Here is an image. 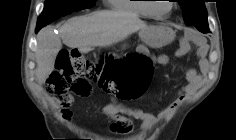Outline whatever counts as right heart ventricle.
I'll return each mask as SVG.
<instances>
[{
  "mask_svg": "<svg viewBox=\"0 0 236 140\" xmlns=\"http://www.w3.org/2000/svg\"><path fill=\"white\" fill-rule=\"evenodd\" d=\"M146 0H111V7L120 12L132 13L142 17L152 16Z\"/></svg>",
  "mask_w": 236,
  "mask_h": 140,
  "instance_id": "1",
  "label": "right heart ventricle"
}]
</instances>
